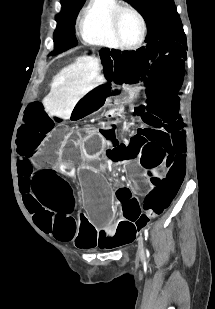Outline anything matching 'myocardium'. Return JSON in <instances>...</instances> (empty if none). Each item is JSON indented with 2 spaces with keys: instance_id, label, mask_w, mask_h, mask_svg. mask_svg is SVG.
Listing matches in <instances>:
<instances>
[{
  "instance_id": "1",
  "label": "myocardium",
  "mask_w": 215,
  "mask_h": 309,
  "mask_svg": "<svg viewBox=\"0 0 215 309\" xmlns=\"http://www.w3.org/2000/svg\"><path fill=\"white\" fill-rule=\"evenodd\" d=\"M110 12H111V16L114 18L112 25H113L114 37H116L117 39L116 44H114L116 48H139L142 45L145 39V34H146L145 23L140 13L131 7H117V8L112 9ZM119 13H129L137 21L138 36H137L136 41L131 44L124 45V42H122V40L120 39L118 30H120V27H121L120 21H119L121 20V15H117Z\"/></svg>"
}]
</instances>
